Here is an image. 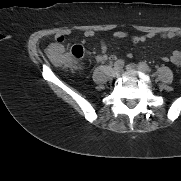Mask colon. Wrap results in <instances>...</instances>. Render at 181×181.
Masks as SVG:
<instances>
[{"mask_svg":"<svg viewBox=\"0 0 181 181\" xmlns=\"http://www.w3.org/2000/svg\"><path fill=\"white\" fill-rule=\"evenodd\" d=\"M59 41H64V38H60ZM84 49L81 45H75L71 53H59L53 58V62L56 66L61 68H72L80 64V61L83 57Z\"/></svg>","mask_w":181,"mask_h":181,"instance_id":"obj_1","label":"colon"}]
</instances>
